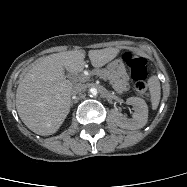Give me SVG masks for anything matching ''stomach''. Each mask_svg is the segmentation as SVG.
Here are the masks:
<instances>
[{
    "label": "stomach",
    "instance_id": "obj_1",
    "mask_svg": "<svg viewBox=\"0 0 187 187\" xmlns=\"http://www.w3.org/2000/svg\"><path fill=\"white\" fill-rule=\"evenodd\" d=\"M109 73L117 79L127 81L129 79L125 65L121 59H116L108 65Z\"/></svg>",
    "mask_w": 187,
    "mask_h": 187
}]
</instances>
